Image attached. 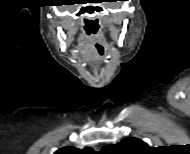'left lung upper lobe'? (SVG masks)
<instances>
[{
    "label": "left lung upper lobe",
    "mask_w": 190,
    "mask_h": 154,
    "mask_svg": "<svg viewBox=\"0 0 190 154\" xmlns=\"http://www.w3.org/2000/svg\"><path fill=\"white\" fill-rule=\"evenodd\" d=\"M149 149V146L140 139L127 138L117 144L105 146L102 151L111 154H136Z\"/></svg>",
    "instance_id": "1"
}]
</instances>
